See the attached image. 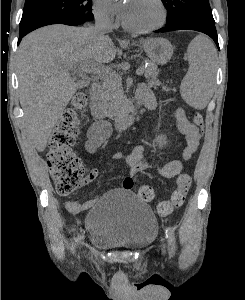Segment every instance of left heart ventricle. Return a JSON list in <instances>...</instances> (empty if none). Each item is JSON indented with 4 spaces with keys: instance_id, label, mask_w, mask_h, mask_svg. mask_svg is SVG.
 Segmentation results:
<instances>
[{
    "instance_id": "obj_1",
    "label": "left heart ventricle",
    "mask_w": 245,
    "mask_h": 300,
    "mask_svg": "<svg viewBox=\"0 0 245 300\" xmlns=\"http://www.w3.org/2000/svg\"><path fill=\"white\" fill-rule=\"evenodd\" d=\"M161 18V11L155 0H127L123 11L124 21L135 27H148Z\"/></svg>"
}]
</instances>
